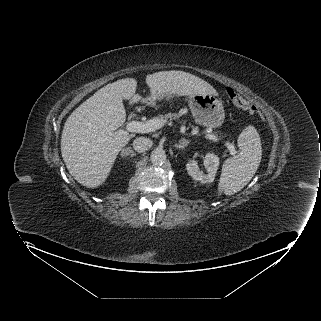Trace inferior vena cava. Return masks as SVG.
Masks as SVG:
<instances>
[{"label":"inferior vena cava","mask_w":321,"mask_h":321,"mask_svg":"<svg viewBox=\"0 0 321 321\" xmlns=\"http://www.w3.org/2000/svg\"><path fill=\"white\" fill-rule=\"evenodd\" d=\"M152 140L147 137H138L133 141L135 151L142 153L149 150L152 146Z\"/></svg>","instance_id":"602c4592"}]
</instances>
